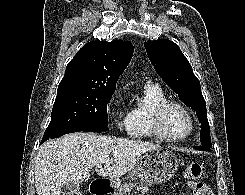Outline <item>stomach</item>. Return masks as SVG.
<instances>
[{
  "mask_svg": "<svg viewBox=\"0 0 245 195\" xmlns=\"http://www.w3.org/2000/svg\"><path fill=\"white\" fill-rule=\"evenodd\" d=\"M179 166L176 154L170 149H155L144 153L129 173L132 179H141L149 184L163 183L174 176ZM121 180H110L112 188H119Z\"/></svg>",
  "mask_w": 245,
  "mask_h": 195,
  "instance_id": "1",
  "label": "stomach"
}]
</instances>
